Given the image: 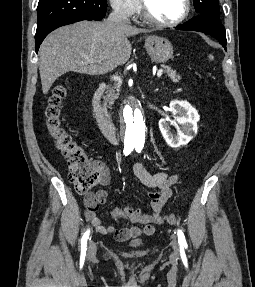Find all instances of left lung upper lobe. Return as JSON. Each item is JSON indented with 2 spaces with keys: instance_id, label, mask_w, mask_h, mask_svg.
Instances as JSON below:
<instances>
[{
  "instance_id": "obj_1",
  "label": "left lung upper lobe",
  "mask_w": 255,
  "mask_h": 287,
  "mask_svg": "<svg viewBox=\"0 0 255 287\" xmlns=\"http://www.w3.org/2000/svg\"><path fill=\"white\" fill-rule=\"evenodd\" d=\"M194 7L198 14L211 15L220 18L218 0H194Z\"/></svg>"
}]
</instances>
